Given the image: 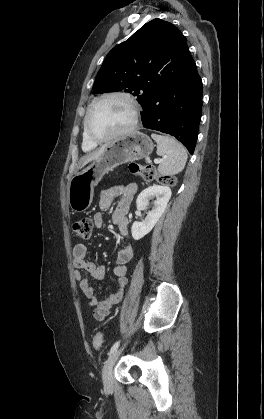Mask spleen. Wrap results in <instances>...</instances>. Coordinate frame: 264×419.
<instances>
[{
	"label": "spleen",
	"mask_w": 264,
	"mask_h": 419,
	"mask_svg": "<svg viewBox=\"0 0 264 419\" xmlns=\"http://www.w3.org/2000/svg\"><path fill=\"white\" fill-rule=\"evenodd\" d=\"M151 137L157 143V154L163 156V160L158 166L159 173L172 176L181 172L188 158L184 146L170 136L152 134Z\"/></svg>",
	"instance_id": "obj_1"
}]
</instances>
